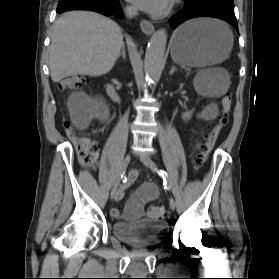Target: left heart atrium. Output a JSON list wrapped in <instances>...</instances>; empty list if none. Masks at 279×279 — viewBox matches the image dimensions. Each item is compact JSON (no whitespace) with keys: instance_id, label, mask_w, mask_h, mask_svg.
<instances>
[{"instance_id":"39dd6f15","label":"left heart atrium","mask_w":279,"mask_h":279,"mask_svg":"<svg viewBox=\"0 0 279 279\" xmlns=\"http://www.w3.org/2000/svg\"><path fill=\"white\" fill-rule=\"evenodd\" d=\"M131 3L136 5L138 8L152 13L161 14L169 9L172 0H129Z\"/></svg>"}]
</instances>
